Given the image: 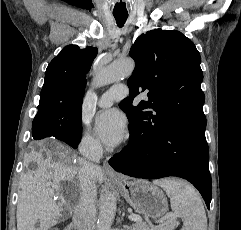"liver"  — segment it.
<instances>
[{"mask_svg": "<svg viewBox=\"0 0 241 230\" xmlns=\"http://www.w3.org/2000/svg\"><path fill=\"white\" fill-rule=\"evenodd\" d=\"M41 149L26 155L24 165L26 171L21 174L17 202V230H47L54 224L62 209V204L54 200L55 192L61 190V181H69L75 186V195H65L73 207L81 198L79 174L84 159L60 143L48 148L40 144ZM34 169H29V163ZM96 181L103 182L100 167L94 169ZM40 227L36 228V223Z\"/></svg>", "mask_w": 241, "mask_h": 230, "instance_id": "6515ba94", "label": "liver"}]
</instances>
